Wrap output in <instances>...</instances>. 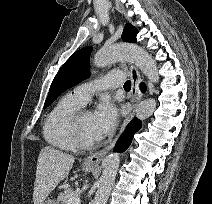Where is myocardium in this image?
<instances>
[{"label":"myocardium","mask_w":212,"mask_h":204,"mask_svg":"<svg viewBox=\"0 0 212 204\" xmlns=\"http://www.w3.org/2000/svg\"><path fill=\"white\" fill-rule=\"evenodd\" d=\"M91 112L89 109L86 108H80L77 110L70 118L69 120V131L71 138L75 144V146L82 150H90L97 146L98 140L96 141H88L86 140L81 132V119L83 115L86 113Z\"/></svg>","instance_id":"obj_1"}]
</instances>
